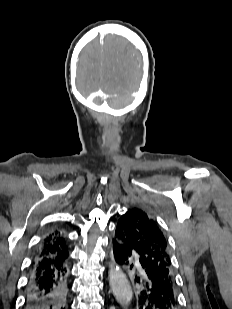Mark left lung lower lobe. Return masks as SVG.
Here are the masks:
<instances>
[{
	"instance_id": "left-lung-lower-lobe-1",
	"label": "left lung lower lobe",
	"mask_w": 232,
	"mask_h": 309,
	"mask_svg": "<svg viewBox=\"0 0 232 309\" xmlns=\"http://www.w3.org/2000/svg\"><path fill=\"white\" fill-rule=\"evenodd\" d=\"M115 236L113 242L115 261L118 265L128 266L131 269L133 264L130 265V258L134 252L118 228L115 230ZM135 282L140 287L139 309H177L178 301L163 275L147 267L140 260Z\"/></svg>"
}]
</instances>
